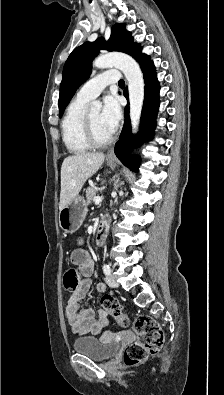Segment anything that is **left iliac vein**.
I'll return each mask as SVG.
<instances>
[{
	"mask_svg": "<svg viewBox=\"0 0 224 395\" xmlns=\"http://www.w3.org/2000/svg\"><path fill=\"white\" fill-rule=\"evenodd\" d=\"M106 283H107L110 287H112V288H115V287L118 286L116 277L113 276V275H107V277H106Z\"/></svg>",
	"mask_w": 224,
	"mask_h": 395,
	"instance_id": "left-iliac-vein-1",
	"label": "left iliac vein"
}]
</instances>
